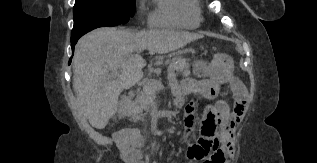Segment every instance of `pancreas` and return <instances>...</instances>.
Instances as JSON below:
<instances>
[{
    "mask_svg": "<svg viewBox=\"0 0 317 163\" xmlns=\"http://www.w3.org/2000/svg\"><path fill=\"white\" fill-rule=\"evenodd\" d=\"M190 63L187 59L182 57H175L172 59L169 65V72L175 74H182L183 76L190 75ZM149 81L147 80L143 84V89L137 92L136 98L126 111V115L130 117L133 122L143 120L150 108L153 105L157 96V90L149 87ZM145 111V113H143Z\"/></svg>",
    "mask_w": 317,
    "mask_h": 163,
    "instance_id": "obj_1",
    "label": "pancreas"
}]
</instances>
